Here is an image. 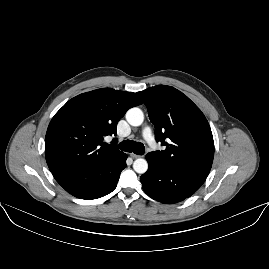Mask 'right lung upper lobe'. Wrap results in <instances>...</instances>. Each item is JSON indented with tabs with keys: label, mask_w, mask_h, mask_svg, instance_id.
Listing matches in <instances>:
<instances>
[{
	"label": "right lung upper lobe",
	"mask_w": 269,
	"mask_h": 269,
	"mask_svg": "<svg viewBox=\"0 0 269 269\" xmlns=\"http://www.w3.org/2000/svg\"><path fill=\"white\" fill-rule=\"evenodd\" d=\"M141 103L135 93L111 88L86 92L69 100L47 129L45 154L49 169L95 164L120 153L103 139L116 135L118 121L129 108Z\"/></svg>",
	"instance_id": "cb5924a9"
}]
</instances>
